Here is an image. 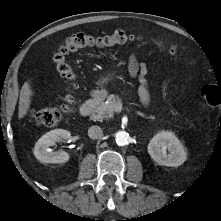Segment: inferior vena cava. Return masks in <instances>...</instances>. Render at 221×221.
Returning <instances> with one entry per match:
<instances>
[{"label": "inferior vena cava", "instance_id": "inferior-vena-cava-1", "mask_svg": "<svg viewBox=\"0 0 221 221\" xmlns=\"http://www.w3.org/2000/svg\"><path fill=\"white\" fill-rule=\"evenodd\" d=\"M88 136L91 139L101 138L103 136V130L99 126H96V125L91 126L88 130Z\"/></svg>", "mask_w": 221, "mask_h": 221}]
</instances>
